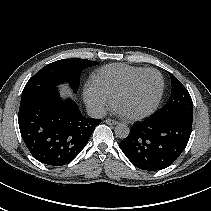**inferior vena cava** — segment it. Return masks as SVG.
Segmentation results:
<instances>
[{
  "mask_svg": "<svg viewBox=\"0 0 211 211\" xmlns=\"http://www.w3.org/2000/svg\"><path fill=\"white\" fill-rule=\"evenodd\" d=\"M86 110L88 116L91 118H103L106 115V111L103 106H89Z\"/></svg>",
  "mask_w": 211,
  "mask_h": 211,
  "instance_id": "602c4592",
  "label": "inferior vena cava"
}]
</instances>
